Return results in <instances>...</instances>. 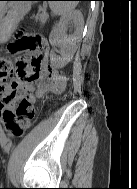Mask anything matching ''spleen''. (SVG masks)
Returning <instances> with one entry per match:
<instances>
[{
	"label": "spleen",
	"mask_w": 137,
	"mask_h": 189,
	"mask_svg": "<svg viewBox=\"0 0 137 189\" xmlns=\"http://www.w3.org/2000/svg\"><path fill=\"white\" fill-rule=\"evenodd\" d=\"M50 8L55 13L62 14L67 8H73L74 2L71 1H51L49 2Z\"/></svg>",
	"instance_id": "obj_1"
}]
</instances>
